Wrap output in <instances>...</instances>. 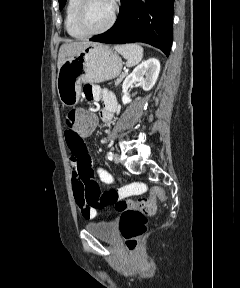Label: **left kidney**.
I'll list each match as a JSON object with an SVG mask.
<instances>
[{"instance_id":"obj_1","label":"left kidney","mask_w":240,"mask_h":288,"mask_svg":"<svg viewBox=\"0 0 240 288\" xmlns=\"http://www.w3.org/2000/svg\"><path fill=\"white\" fill-rule=\"evenodd\" d=\"M159 72L160 62L156 58H150L139 64L123 82V104L126 105L132 101L128 94V89L133 85V83L139 82L144 91H149L155 85Z\"/></svg>"}]
</instances>
